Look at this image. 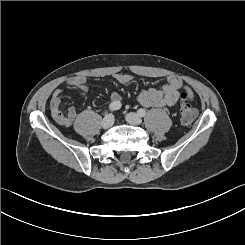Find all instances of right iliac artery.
I'll use <instances>...</instances> for the list:
<instances>
[{"mask_svg": "<svg viewBox=\"0 0 245 245\" xmlns=\"http://www.w3.org/2000/svg\"><path fill=\"white\" fill-rule=\"evenodd\" d=\"M121 108V103L118 101H114L109 105V109L111 111L119 110Z\"/></svg>", "mask_w": 245, "mask_h": 245, "instance_id": "82829eb1", "label": "right iliac artery"}]
</instances>
